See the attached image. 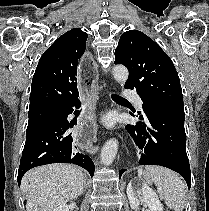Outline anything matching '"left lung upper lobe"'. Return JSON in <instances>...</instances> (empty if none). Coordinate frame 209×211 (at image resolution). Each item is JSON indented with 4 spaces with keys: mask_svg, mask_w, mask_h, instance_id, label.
<instances>
[{
    "mask_svg": "<svg viewBox=\"0 0 209 211\" xmlns=\"http://www.w3.org/2000/svg\"><path fill=\"white\" fill-rule=\"evenodd\" d=\"M115 64L128 68L125 87L136 89L143 100V110L149 105L183 107L180 80L172 60L144 33L129 30L121 35Z\"/></svg>",
    "mask_w": 209,
    "mask_h": 211,
    "instance_id": "5c2ea615",
    "label": "left lung upper lobe"
}]
</instances>
